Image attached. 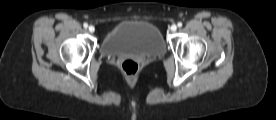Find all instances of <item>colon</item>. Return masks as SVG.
<instances>
[{"mask_svg":"<svg viewBox=\"0 0 276 120\" xmlns=\"http://www.w3.org/2000/svg\"><path fill=\"white\" fill-rule=\"evenodd\" d=\"M121 69L129 80H134L139 72V64L135 59L127 58L122 62Z\"/></svg>","mask_w":276,"mask_h":120,"instance_id":"colon-1","label":"colon"}]
</instances>
